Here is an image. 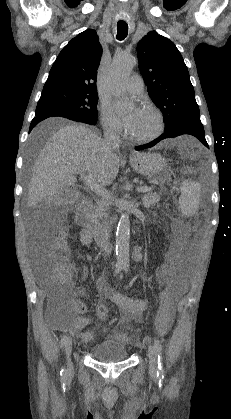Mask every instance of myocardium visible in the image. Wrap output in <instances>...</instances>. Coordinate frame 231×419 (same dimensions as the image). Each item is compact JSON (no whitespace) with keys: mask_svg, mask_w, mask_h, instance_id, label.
Returning a JSON list of instances; mask_svg holds the SVG:
<instances>
[{"mask_svg":"<svg viewBox=\"0 0 231 419\" xmlns=\"http://www.w3.org/2000/svg\"><path fill=\"white\" fill-rule=\"evenodd\" d=\"M144 110L149 111L150 113H152L154 115V117L156 118V122H157V128L156 130L146 136H135V135H130V138L135 141V142H139V143H148L151 142L153 140H155L156 138H158L163 130H164V119L163 116L161 114V112L154 106L152 105H146L144 107Z\"/></svg>","mask_w":231,"mask_h":419,"instance_id":"obj_1","label":"myocardium"}]
</instances>
